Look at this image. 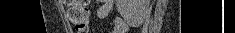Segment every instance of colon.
Here are the masks:
<instances>
[{"instance_id": "obj_1", "label": "colon", "mask_w": 235, "mask_h": 33, "mask_svg": "<svg viewBox=\"0 0 235 33\" xmlns=\"http://www.w3.org/2000/svg\"><path fill=\"white\" fill-rule=\"evenodd\" d=\"M68 6L67 16L77 32L86 33L89 26L90 14L87 0H65Z\"/></svg>"}]
</instances>
